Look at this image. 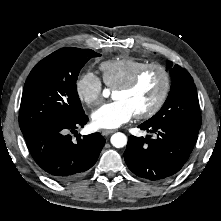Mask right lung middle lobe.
Segmentation results:
<instances>
[{"label":"right lung middle lobe","mask_w":221,"mask_h":221,"mask_svg":"<svg viewBox=\"0 0 221 221\" xmlns=\"http://www.w3.org/2000/svg\"><path fill=\"white\" fill-rule=\"evenodd\" d=\"M99 56L90 49L67 47L50 54L32 69L19 111L23 134L50 122H70L84 114L76 80L85 63Z\"/></svg>","instance_id":"right-lung-middle-lobe-1"}]
</instances>
